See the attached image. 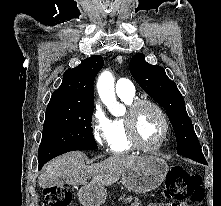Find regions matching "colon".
Instances as JSON below:
<instances>
[{"label":"colon","mask_w":221,"mask_h":206,"mask_svg":"<svg viewBox=\"0 0 221 206\" xmlns=\"http://www.w3.org/2000/svg\"><path fill=\"white\" fill-rule=\"evenodd\" d=\"M165 196L180 201L199 202L204 197L201 178L183 167L174 166L167 174ZM74 193L63 186L45 190L43 206H73Z\"/></svg>","instance_id":"5ec220e1"}]
</instances>
